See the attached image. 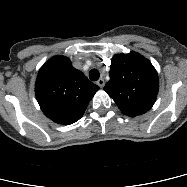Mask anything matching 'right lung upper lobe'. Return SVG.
Listing matches in <instances>:
<instances>
[{"label":"right lung upper lobe","mask_w":187,"mask_h":187,"mask_svg":"<svg viewBox=\"0 0 187 187\" xmlns=\"http://www.w3.org/2000/svg\"><path fill=\"white\" fill-rule=\"evenodd\" d=\"M98 89L65 56L49 59L39 70L35 83L41 110L49 119L62 125L79 120Z\"/></svg>","instance_id":"cb5924a9"}]
</instances>
